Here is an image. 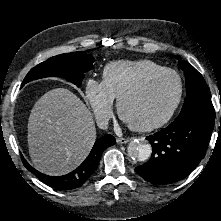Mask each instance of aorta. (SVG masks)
<instances>
[{"instance_id":"aorta-1","label":"aorta","mask_w":221,"mask_h":221,"mask_svg":"<svg viewBox=\"0 0 221 221\" xmlns=\"http://www.w3.org/2000/svg\"><path fill=\"white\" fill-rule=\"evenodd\" d=\"M129 157L136 161H146L150 158L152 147L145 139H134L127 146Z\"/></svg>"}]
</instances>
